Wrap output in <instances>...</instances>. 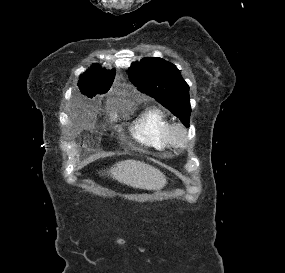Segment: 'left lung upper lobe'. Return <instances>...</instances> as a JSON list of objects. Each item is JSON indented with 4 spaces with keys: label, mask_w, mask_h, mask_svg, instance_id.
I'll use <instances>...</instances> for the list:
<instances>
[{
    "label": "left lung upper lobe",
    "mask_w": 285,
    "mask_h": 273,
    "mask_svg": "<svg viewBox=\"0 0 285 273\" xmlns=\"http://www.w3.org/2000/svg\"><path fill=\"white\" fill-rule=\"evenodd\" d=\"M129 78L140 91L155 98L189 126V86L171 63L159 57L144 58L130 66Z\"/></svg>",
    "instance_id": "left-lung-upper-lobe-1"
}]
</instances>
